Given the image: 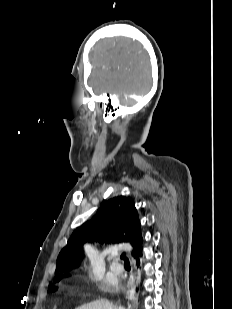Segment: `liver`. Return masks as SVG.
<instances>
[{"instance_id":"1","label":"liver","mask_w":232,"mask_h":309,"mask_svg":"<svg viewBox=\"0 0 232 309\" xmlns=\"http://www.w3.org/2000/svg\"><path fill=\"white\" fill-rule=\"evenodd\" d=\"M76 309H117L111 302L105 299L96 300L88 304H84Z\"/></svg>"}]
</instances>
